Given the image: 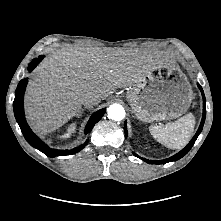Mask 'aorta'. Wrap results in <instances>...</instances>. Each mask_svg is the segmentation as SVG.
Instances as JSON below:
<instances>
[{
    "instance_id": "obj_1",
    "label": "aorta",
    "mask_w": 221,
    "mask_h": 221,
    "mask_svg": "<svg viewBox=\"0 0 221 221\" xmlns=\"http://www.w3.org/2000/svg\"><path fill=\"white\" fill-rule=\"evenodd\" d=\"M108 118L115 120V121H121L125 117V110L124 107L120 104H112L107 109Z\"/></svg>"
}]
</instances>
